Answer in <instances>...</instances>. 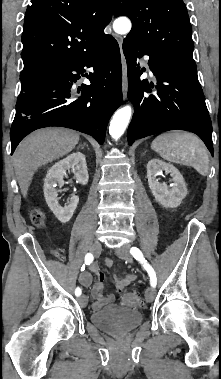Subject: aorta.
I'll list each match as a JSON object with an SVG mask.
<instances>
[{"instance_id":"aorta-1","label":"aorta","mask_w":221,"mask_h":379,"mask_svg":"<svg viewBox=\"0 0 221 379\" xmlns=\"http://www.w3.org/2000/svg\"><path fill=\"white\" fill-rule=\"evenodd\" d=\"M113 29L118 34H127L131 30V22L126 17L117 18L113 23ZM132 115V108L129 105L119 108L113 115L110 122L109 134L118 140L124 133Z\"/></svg>"}]
</instances>
